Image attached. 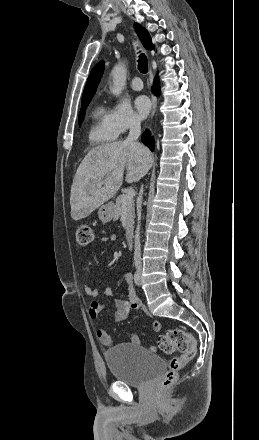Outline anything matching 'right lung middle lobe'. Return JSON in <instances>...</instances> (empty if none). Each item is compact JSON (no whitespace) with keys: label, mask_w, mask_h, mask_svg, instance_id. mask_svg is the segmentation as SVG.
Returning <instances> with one entry per match:
<instances>
[{"label":"right lung middle lobe","mask_w":259,"mask_h":440,"mask_svg":"<svg viewBox=\"0 0 259 440\" xmlns=\"http://www.w3.org/2000/svg\"><path fill=\"white\" fill-rule=\"evenodd\" d=\"M90 101H91V98H88V99L82 100V102H81V110H80V113H79V116H78V123H79V125L83 121L86 108H87L88 104L90 103Z\"/></svg>","instance_id":"dd1d6c3e"}]
</instances>
